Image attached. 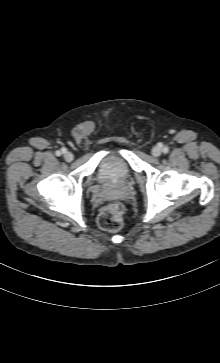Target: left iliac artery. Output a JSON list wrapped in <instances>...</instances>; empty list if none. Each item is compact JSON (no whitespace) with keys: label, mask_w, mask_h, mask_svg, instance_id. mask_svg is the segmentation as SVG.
Listing matches in <instances>:
<instances>
[{"label":"left iliac artery","mask_w":220,"mask_h":363,"mask_svg":"<svg viewBox=\"0 0 220 363\" xmlns=\"http://www.w3.org/2000/svg\"><path fill=\"white\" fill-rule=\"evenodd\" d=\"M169 151V149L167 147L163 148V152L167 153Z\"/></svg>","instance_id":"44dca946"}]
</instances>
